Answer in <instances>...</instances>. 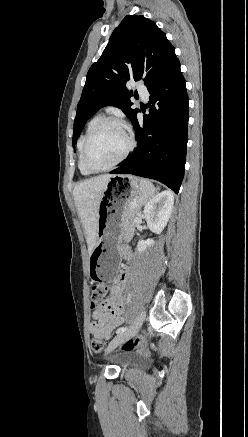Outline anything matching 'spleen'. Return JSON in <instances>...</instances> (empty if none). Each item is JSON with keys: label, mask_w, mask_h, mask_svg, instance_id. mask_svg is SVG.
<instances>
[{"label": "spleen", "mask_w": 248, "mask_h": 437, "mask_svg": "<svg viewBox=\"0 0 248 437\" xmlns=\"http://www.w3.org/2000/svg\"><path fill=\"white\" fill-rule=\"evenodd\" d=\"M142 194L140 195L141 204H146L154 195L155 188L153 184L146 179H140Z\"/></svg>", "instance_id": "spleen-1"}]
</instances>
